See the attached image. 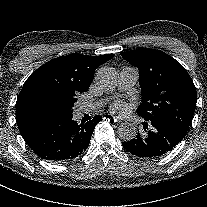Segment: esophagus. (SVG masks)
I'll list each match as a JSON object with an SVG mask.
<instances>
[{
	"label": "esophagus",
	"instance_id": "1",
	"mask_svg": "<svg viewBox=\"0 0 207 207\" xmlns=\"http://www.w3.org/2000/svg\"><path fill=\"white\" fill-rule=\"evenodd\" d=\"M104 118H105L106 120H108V121H112V122H117V121H118L117 118H116V116H114V115H112V114H109V113L105 114V115H104Z\"/></svg>",
	"mask_w": 207,
	"mask_h": 207
}]
</instances>
